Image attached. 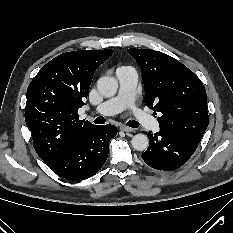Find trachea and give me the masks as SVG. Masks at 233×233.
Returning <instances> with one entry per match:
<instances>
[{
  "instance_id": "3493384b",
  "label": "trachea",
  "mask_w": 233,
  "mask_h": 233,
  "mask_svg": "<svg viewBox=\"0 0 233 233\" xmlns=\"http://www.w3.org/2000/svg\"><path fill=\"white\" fill-rule=\"evenodd\" d=\"M102 118V117H99ZM127 126L132 127V128H138L139 127V123L135 120L132 121H128L127 122Z\"/></svg>"
}]
</instances>
